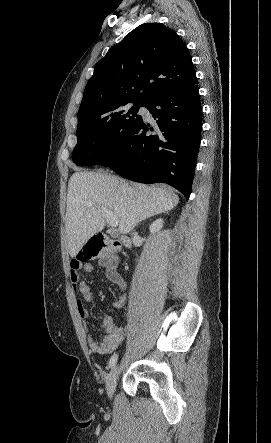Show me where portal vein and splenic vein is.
Here are the masks:
<instances>
[{
  "label": "portal vein and splenic vein",
  "mask_w": 271,
  "mask_h": 443,
  "mask_svg": "<svg viewBox=\"0 0 271 443\" xmlns=\"http://www.w3.org/2000/svg\"><path fill=\"white\" fill-rule=\"evenodd\" d=\"M87 208H89V206H87ZM97 208H101V212L103 216H105V220L109 223V225H112V227H116V225H118V220L117 218H115L113 212H110V210H106L104 206H97Z\"/></svg>",
  "instance_id": "18ae733b"
}]
</instances>
